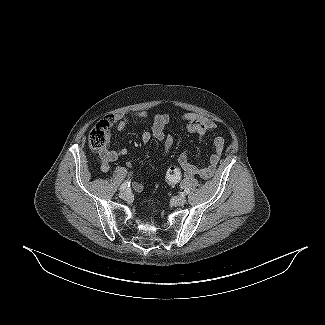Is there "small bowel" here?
<instances>
[{
    "label": "small bowel",
    "instance_id": "obj_1",
    "mask_svg": "<svg viewBox=\"0 0 325 325\" xmlns=\"http://www.w3.org/2000/svg\"><path fill=\"white\" fill-rule=\"evenodd\" d=\"M133 120H150L152 126L150 131H146L142 134V141L148 142L151 138H155L163 145L162 157L167 156L174 144V138L172 135L165 133V127L169 122V116L166 114L151 115L146 111H135L127 114H119L114 117V124L117 131H123L131 121ZM183 120L186 122V129L188 132L195 134L200 141H205L209 138L210 133L215 127V124L211 121L205 120L192 113H186L183 115ZM214 151L209 158V162L206 166H196L189 161L188 154L182 152L179 155L178 163L185 172L186 176H198L201 178H212L216 168L219 164L221 155L224 149V139L221 136H217L212 140ZM127 148L123 147L117 150L109 149L105 147L99 152L98 163L102 171L106 172L110 168V164L116 161L118 158L127 154ZM127 166L130 167L131 163L128 162ZM133 187L136 191L143 189L142 183H134Z\"/></svg>",
    "mask_w": 325,
    "mask_h": 325
}]
</instances>
